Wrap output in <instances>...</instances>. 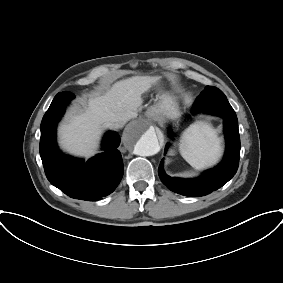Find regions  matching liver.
Here are the masks:
<instances>
[{"mask_svg":"<svg viewBox=\"0 0 283 283\" xmlns=\"http://www.w3.org/2000/svg\"><path fill=\"white\" fill-rule=\"evenodd\" d=\"M157 80V77L134 76L116 82L105 95L89 99L84 110L71 113L60 126L61 146L74 155L92 156L102 128H108L112 122L126 123L136 118L143 103L142 94Z\"/></svg>","mask_w":283,"mask_h":283,"instance_id":"6515ba94","label":"liver"}]
</instances>
